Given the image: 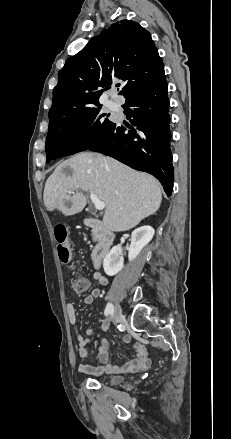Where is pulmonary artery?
<instances>
[{"mask_svg":"<svg viewBox=\"0 0 231 439\" xmlns=\"http://www.w3.org/2000/svg\"><path fill=\"white\" fill-rule=\"evenodd\" d=\"M108 106H109L110 108H114V107H115V105H114L113 102H109V103H108Z\"/></svg>","mask_w":231,"mask_h":439,"instance_id":"1","label":"pulmonary artery"}]
</instances>
